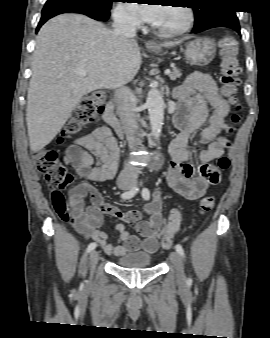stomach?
<instances>
[{"mask_svg":"<svg viewBox=\"0 0 270 338\" xmlns=\"http://www.w3.org/2000/svg\"><path fill=\"white\" fill-rule=\"evenodd\" d=\"M152 51L158 53L161 48L154 47ZM215 53V44L208 38H196L186 44L185 56L187 61L193 65H208L214 59Z\"/></svg>","mask_w":270,"mask_h":338,"instance_id":"stomach-1","label":"stomach"}]
</instances>
